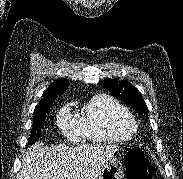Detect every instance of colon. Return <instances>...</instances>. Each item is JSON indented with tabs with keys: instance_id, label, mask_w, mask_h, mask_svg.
Masks as SVG:
<instances>
[{
	"instance_id": "5ec220e1",
	"label": "colon",
	"mask_w": 183,
	"mask_h": 179,
	"mask_svg": "<svg viewBox=\"0 0 183 179\" xmlns=\"http://www.w3.org/2000/svg\"><path fill=\"white\" fill-rule=\"evenodd\" d=\"M126 179H153L155 169L140 148H132L125 157Z\"/></svg>"
}]
</instances>
